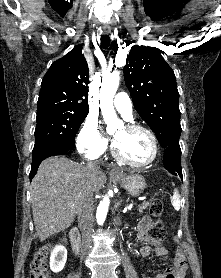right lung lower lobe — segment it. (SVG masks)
Returning <instances> with one entry per match:
<instances>
[{"label": "right lung lower lobe", "mask_w": 221, "mask_h": 278, "mask_svg": "<svg viewBox=\"0 0 221 278\" xmlns=\"http://www.w3.org/2000/svg\"><path fill=\"white\" fill-rule=\"evenodd\" d=\"M74 144L68 142V141H53L50 143H47L35 150H33V156H32V165H31V171H30V181L35 176L38 167L40 163L50 156L54 155H63L67 153Z\"/></svg>", "instance_id": "right-lung-lower-lobe-1"}]
</instances>
